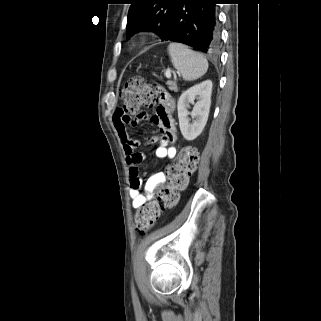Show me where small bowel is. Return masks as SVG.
<instances>
[{
	"label": "small bowel",
	"mask_w": 321,
	"mask_h": 321,
	"mask_svg": "<svg viewBox=\"0 0 321 321\" xmlns=\"http://www.w3.org/2000/svg\"><path fill=\"white\" fill-rule=\"evenodd\" d=\"M152 90L157 88L155 83L150 85ZM159 95L158 105L153 115L149 116L145 112L139 113L136 117L124 113L121 109L115 111L113 117L114 128L121 140L126 162L129 166L130 189L132 207L141 208L148 201L152 200L156 189L166 181L164 172L153 173L144 184V192H141L143 185L139 174V166L145 160V155L136 149L139 142L131 138L128 133L129 126H136L139 121L149 119L154 125L158 126L160 133L150 139V144H156L155 155L159 159H174L177 149L172 145L176 139V124L174 120L175 101L162 89L157 91Z\"/></svg>",
	"instance_id": "c3829d8e"
}]
</instances>
